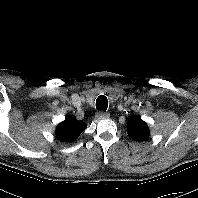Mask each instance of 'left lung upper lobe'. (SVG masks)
I'll use <instances>...</instances> for the list:
<instances>
[{"instance_id":"5c2ea615","label":"left lung upper lobe","mask_w":198,"mask_h":198,"mask_svg":"<svg viewBox=\"0 0 198 198\" xmlns=\"http://www.w3.org/2000/svg\"><path fill=\"white\" fill-rule=\"evenodd\" d=\"M127 134L135 141H144L149 137V128L141 118L133 117L127 125Z\"/></svg>"}]
</instances>
